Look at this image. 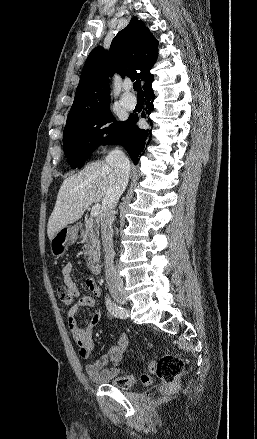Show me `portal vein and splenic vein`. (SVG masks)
I'll return each mask as SVG.
<instances>
[{
	"label": "portal vein and splenic vein",
	"mask_w": 257,
	"mask_h": 439,
	"mask_svg": "<svg viewBox=\"0 0 257 439\" xmlns=\"http://www.w3.org/2000/svg\"><path fill=\"white\" fill-rule=\"evenodd\" d=\"M99 211H100V204H95L92 207V210H91V213H90L91 217H96L99 214Z\"/></svg>",
	"instance_id": "portal-vein-and-splenic-vein-1"
}]
</instances>
